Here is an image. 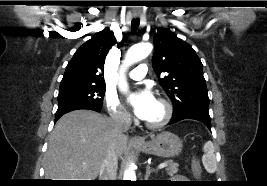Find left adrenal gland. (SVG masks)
<instances>
[{"mask_svg":"<svg viewBox=\"0 0 267 186\" xmlns=\"http://www.w3.org/2000/svg\"><path fill=\"white\" fill-rule=\"evenodd\" d=\"M155 172L154 169H151L149 165H147L146 167V175H145V181H148V178L150 176L151 173Z\"/></svg>","mask_w":267,"mask_h":186,"instance_id":"1","label":"left adrenal gland"}]
</instances>
